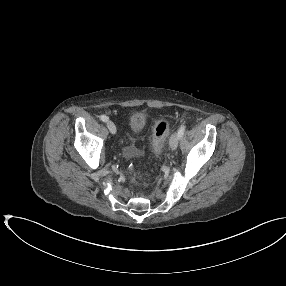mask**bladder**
<instances>
[{
  "mask_svg": "<svg viewBox=\"0 0 286 286\" xmlns=\"http://www.w3.org/2000/svg\"><path fill=\"white\" fill-rule=\"evenodd\" d=\"M129 125L134 132L142 130L145 125V118L142 115L135 114L129 119Z\"/></svg>",
  "mask_w": 286,
  "mask_h": 286,
  "instance_id": "bladder-1",
  "label": "bladder"
}]
</instances>
